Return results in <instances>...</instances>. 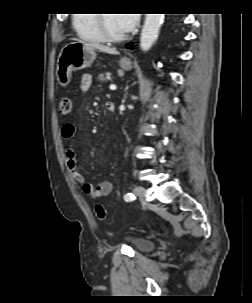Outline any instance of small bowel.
<instances>
[{
    "label": "small bowel",
    "instance_id": "c3829d8e",
    "mask_svg": "<svg viewBox=\"0 0 252 303\" xmlns=\"http://www.w3.org/2000/svg\"><path fill=\"white\" fill-rule=\"evenodd\" d=\"M93 82V76L89 73H85L81 78V90L87 92ZM61 135L65 140H71L75 136V127L71 123H65L61 129ZM65 164L72 179L81 184L82 191L85 195L92 199H98L100 197L108 196L113 190V184L110 181H103L94 186L92 183L86 182L84 176L79 170V166L76 159V153L71 146H68L65 150Z\"/></svg>",
    "mask_w": 252,
    "mask_h": 303
}]
</instances>
